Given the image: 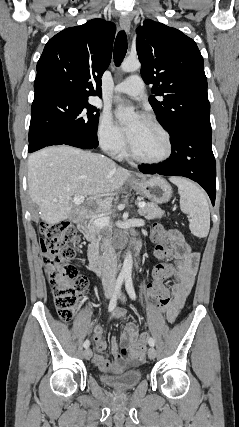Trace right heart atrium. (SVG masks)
<instances>
[{
  "label": "right heart atrium",
  "mask_w": 239,
  "mask_h": 427,
  "mask_svg": "<svg viewBox=\"0 0 239 427\" xmlns=\"http://www.w3.org/2000/svg\"><path fill=\"white\" fill-rule=\"evenodd\" d=\"M97 138L102 149L110 155H120L125 148V138L108 112L101 114L97 126Z\"/></svg>",
  "instance_id": "1"
}]
</instances>
